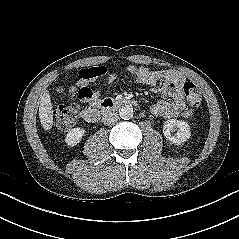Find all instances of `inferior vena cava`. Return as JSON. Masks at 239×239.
I'll return each instance as SVG.
<instances>
[{
	"instance_id": "inferior-vena-cava-1",
	"label": "inferior vena cava",
	"mask_w": 239,
	"mask_h": 239,
	"mask_svg": "<svg viewBox=\"0 0 239 239\" xmlns=\"http://www.w3.org/2000/svg\"><path fill=\"white\" fill-rule=\"evenodd\" d=\"M118 120V115L114 112H107L104 114L103 118H102V122L105 125H112L115 124Z\"/></svg>"
}]
</instances>
